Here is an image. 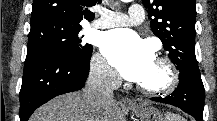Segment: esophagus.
<instances>
[{
	"mask_svg": "<svg viewBox=\"0 0 217 121\" xmlns=\"http://www.w3.org/2000/svg\"><path fill=\"white\" fill-rule=\"evenodd\" d=\"M123 102L125 104L129 105V106H133L135 104L134 101L131 98H128V97H124Z\"/></svg>",
	"mask_w": 217,
	"mask_h": 121,
	"instance_id": "obj_1",
	"label": "esophagus"
}]
</instances>
